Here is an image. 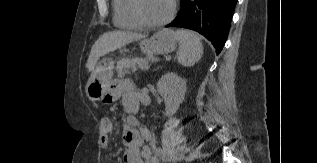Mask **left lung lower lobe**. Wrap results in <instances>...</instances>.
Instances as JSON below:
<instances>
[{
    "mask_svg": "<svg viewBox=\"0 0 317 163\" xmlns=\"http://www.w3.org/2000/svg\"><path fill=\"white\" fill-rule=\"evenodd\" d=\"M237 0H181L180 12L166 27L195 30L220 53L227 39Z\"/></svg>",
    "mask_w": 317,
    "mask_h": 163,
    "instance_id": "left-lung-lower-lobe-1",
    "label": "left lung lower lobe"
}]
</instances>
